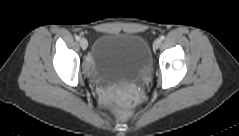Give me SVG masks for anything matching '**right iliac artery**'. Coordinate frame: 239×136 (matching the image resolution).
Wrapping results in <instances>:
<instances>
[{
	"mask_svg": "<svg viewBox=\"0 0 239 136\" xmlns=\"http://www.w3.org/2000/svg\"><path fill=\"white\" fill-rule=\"evenodd\" d=\"M75 38H76V40H78V41L80 40V37H79V36H76Z\"/></svg>",
	"mask_w": 239,
	"mask_h": 136,
	"instance_id": "obj_1",
	"label": "right iliac artery"
}]
</instances>
